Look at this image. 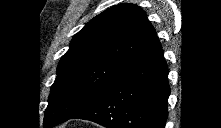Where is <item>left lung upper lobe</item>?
<instances>
[{"label":"left lung upper lobe","instance_id":"left-lung-upper-lobe-1","mask_svg":"<svg viewBox=\"0 0 221 128\" xmlns=\"http://www.w3.org/2000/svg\"><path fill=\"white\" fill-rule=\"evenodd\" d=\"M158 41L145 12L134 4L115 5L94 17L58 64L44 126L65 122L101 98Z\"/></svg>","mask_w":221,"mask_h":128}]
</instances>
